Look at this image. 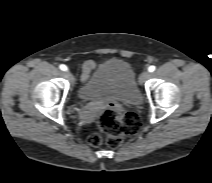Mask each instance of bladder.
I'll return each instance as SVG.
<instances>
[{
  "mask_svg": "<svg viewBox=\"0 0 212 183\" xmlns=\"http://www.w3.org/2000/svg\"><path fill=\"white\" fill-rule=\"evenodd\" d=\"M77 94L81 100H113L131 105L141 101L135 74L128 62L108 59L84 81Z\"/></svg>",
  "mask_w": 212,
  "mask_h": 183,
  "instance_id": "obj_1",
  "label": "bladder"
}]
</instances>
